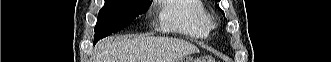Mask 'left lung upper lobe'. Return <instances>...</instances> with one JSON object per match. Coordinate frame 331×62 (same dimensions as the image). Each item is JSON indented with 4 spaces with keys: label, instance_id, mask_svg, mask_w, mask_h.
<instances>
[{
    "label": "left lung upper lobe",
    "instance_id": "5c2ea615",
    "mask_svg": "<svg viewBox=\"0 0 331 62\" xmlns=\"http://www.w3.org/2000/svg\"><path fill=\"white\" fill-rule=\"evenodd\" d=\"M217 2H219L220 0H216ZM221 12L223 13V11L221 10ZM224 14V13H223Z\"/></svg>",
    "mask_w": 331,
    "mask_h": 62
}]
</instances>
